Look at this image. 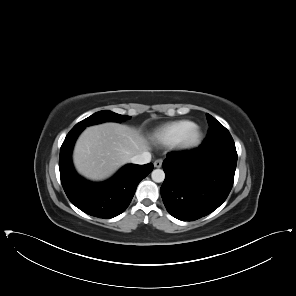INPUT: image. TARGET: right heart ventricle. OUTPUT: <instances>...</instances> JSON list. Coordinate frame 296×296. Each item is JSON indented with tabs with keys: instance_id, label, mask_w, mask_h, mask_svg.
Here are the masks:
<instances>
[{
	"instance_id": "obj_1",
	"label": "right heart ventricle",
	"mask_w": 296,
	"mask_h": 296,
	"mask_svg": "<svg viewBox=\"0 0 296 296\" xmlns=\"http://www.w3.org/2000/svg\"><path fill=\"white\" fill-rule=\"evenodd\" d=\"M192 125L193 123L189 120H178L166 123L154 131L152 139L164 146L173 145Z\"/></svg>"
}]
</instances>
